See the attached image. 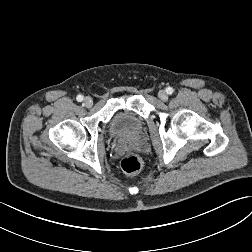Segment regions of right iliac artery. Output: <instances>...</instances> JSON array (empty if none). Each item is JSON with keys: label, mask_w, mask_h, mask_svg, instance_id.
<instances>
[{"label": "right iliac artery", "mask_w": 252, "mask_h": 252, "mask_svg": "<svg viewBox=\"0 0 252 252\" xmlns=\"http://www.w3.org/2000/svg\"><path fill=\"white\" fill-rule=\"evenodd\" d=\"M76 99H77V101L81 102L83 100V96L82 95H78Z\"/></svg>", "instance_id": "obj_1"}]
</instances>
